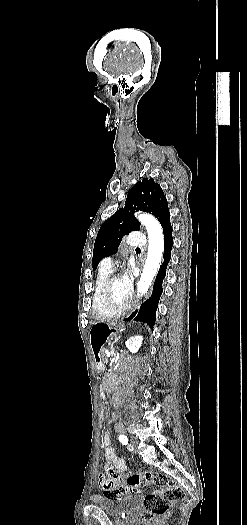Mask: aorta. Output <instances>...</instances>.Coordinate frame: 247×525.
<instances>
[{"instance_id": "aorta-1", "label": "aorta", "mask_w": 247, "mask_h": 525, "mask_svg": "<svg viewBox=\"0 0 247 525\" xmlns=\"http://www.w3.org/2000/svg\"><path fill=\"white\" fill-rule=\"evenodd\" d=\"M138 220L146 227L149 242L145 266L137 283V296L142 297L148 291L160 267L164 249V235L160 223L152 215L139 214Z\"/></svg>"}]
</instances>
